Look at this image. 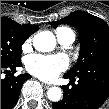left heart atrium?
<instances>
[{
	"label": "left heart atrium",
	"instance_id": "left-heart-atrium-1",
	"mask_svg": "<svg viewBox=\"0 0 109 109\" xmlns=\"http://www.w3.org/2000/svg\"><path fill=\"white\" fill-rule=\"evenodd\" d=\"M69 66L64 55H31L26 59V68L34 76L51 81L57 78Z\"/></svg>",
	"mask_w": 109,
	"mask_h": 109
}]
</instances>
